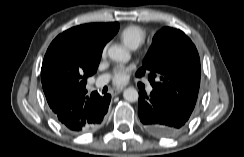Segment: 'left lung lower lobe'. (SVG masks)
<instances>
[{
    "mask_svg": "<svg viewBox=\"0 0 244 157\" xmlns=\"http://www.w3.org/2000/svg\"><path fill=\"white\" fill-rule=\"evenodd\" d=\"M138 105L141 122L151 134L158 137L177 136L188 126L193 116L154 87L150 95L144 91L139 93Z\"/></svg>",
    "mask_w": 244,
    "mask_h": 157,
    "instance_id": "0a47b994",
    "label": "left lung lower lobe"
}]
</instances>
